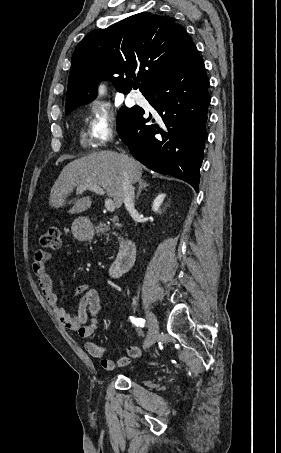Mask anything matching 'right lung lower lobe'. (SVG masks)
<instances>
[{"label":"right lung lower lobe","instance_id":"98d812e1","mask_svg":"<svg viewBox=\"0 0 281 453\" xmlns=\"http://www.w3.org/2000/svg\"><path fill=\"white\" fill-rule=\"evenodd\" d=\"M209 80L199 53L143 93L158 112V124L139 106L122 107L117 131L132 155L148 168L172 175L198 191L204 158Z\"/></svg>","mask_w":281,"mask_h":453}]
</instances>
